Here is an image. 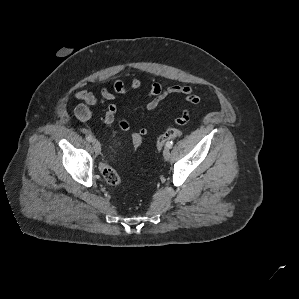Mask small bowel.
Returning <instances> with one entry per match:
<instances>
[{"mask_svg": "<svg viewBox=\"0 0 299 299\" xmlns=\"http://www.w3.org/2000/svg\"><path fill=\"white\" fill-rule=\"evenodd\" d=\"M142 85V80L138 77L133 78L130 83L126 84L123 80H116L112 88L104 87L101 90L100 97L87 90H80L76 92L75 98L80 102L75 108L76 117L82 121L87 122L93 119L92 106L101 104L104 105L105 111L100 121L103 124L110 125L115 121L117 106L113 103L116 94H126L130 91L138 90ZM169 94H180L185 97V100L191 105L199 103V97L194 90L189 86L173 85L163 87L160 83L152 81L149 87L148 95L149 100L146 103L147 110H154L161 100ZM191 110L185 108L181 115L175 119L177 124H185L189 120ZM120 128L125 131H131V126L127 119L121 118L119 120ZM139 131L146 135V128H140Z\"/></svg>", "mask_w": 299, "mask_h": 299, "instance_id": "obj_1", "label": "small bowel"}]
</instances>
